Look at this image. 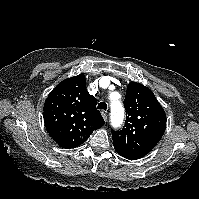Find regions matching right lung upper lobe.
Listing matches in <instances>:
<instances>
[{"label": "right lung upper lobe", "mask_w": 199, "mask_h": 199, "mask_svg": "<svg viewBox=\"0 0 199 199\" xmlns=\"http://www.w3.org/2000/svg\"><path fill=\"white\" fill-rule=\"evenodd\" d=\"M96 103L86 89L83 74L60 82L48 95L43 108L49 135L63 148L83 144L94 130L104 125Z\"/></svg>", "instance_id": "1"}]
</instances>
